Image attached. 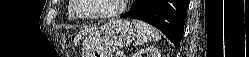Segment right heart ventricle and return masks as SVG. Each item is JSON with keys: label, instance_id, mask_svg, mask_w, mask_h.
I'll use <instances>...</instances> for the list:
<instances>
[{"label": "right heart ventricle", "instance_id": "e07e8e85", "mask_svg": "<svg viewBox=\"0 0 249 57\" xmlns=\"http://www.w3.org/2000/svg\"><path fill=\"white\" fill-rule=\"evenodd\" d=\"M72 2H73V0H72ZM68 16H69V18L70 19H77L78 17L74 14V11H73V8L72 7H70L69 9H68Z\"/></svg>", "mask_w": 249, "mask_h": 57}]
</instances>
